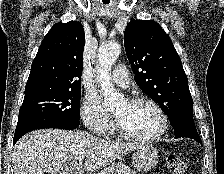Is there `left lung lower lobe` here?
Segmentation results:
<instances>
[{"mask_svg": "<svg viewBox=\"0 0 224 174\" xmlns=\"http://www.w3.org/2000/svg\"><path fill=\"white\" fill-rule=\"evenodd\" d=\"M173 128H174L175 138H180V137L192 138L202 145L201 139L195 127L193 117H185L180 119L178 123L175 125V127Z\"/></svg>", "mask_w": 224, "mask_h": 174, "instance_id": "1", "label": "left lung lower lobe"}]
</instances>
